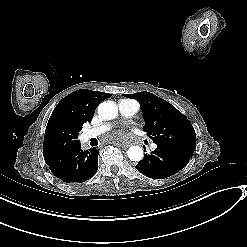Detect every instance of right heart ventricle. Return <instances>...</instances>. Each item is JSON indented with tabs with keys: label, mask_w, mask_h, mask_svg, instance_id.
<instances>
[{
	"label": "right heart ventricle",
	"mask_w": 247,
	"mask_h": 247,
	"mask_svg": "<svg viewBox=\"0 0 247 247\" xmlns=\"http://www.w3.org/2000/svg\"><path fill=\"white\" fill-rule=\"evenodd\" d=\"M118 105H119V107H121L123 105H133L137 109L139 107V104L136 101L130 100V99H121V100H119Z\"/></svg>",
	"instance_id": "1"
}]
</instances>
